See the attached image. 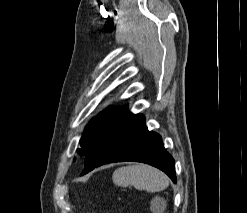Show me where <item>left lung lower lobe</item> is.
Returning a JSON list of instances; mask_svg holds the SVG:
<instances>
[{
	"label": "left lung lower lobe",
	"instance_id": "left-lung-lower-lobe-1",
	"mask_svg": "<svg viewBox=\"0 0 247 213\" xmlns=\"http://www.w3.org/2000/svg\"><path fill=\"white\" fill-rule=\"evenodd\" d=\"M137 161L165 172L176 183L175 163L164 148L161 136L148 131L145 117L126 111L99 136L85 154L84 175L103 164Z\"/></svg>",
	"mask_w": 247,
	"mask_h": 213
}]
</instances>
